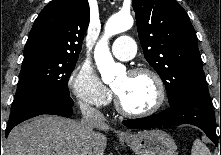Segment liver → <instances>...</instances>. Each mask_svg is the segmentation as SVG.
I'll return each instance as SVG.
<instances>
[{"label":"liver","instance_id":"obj_1","mask_svg":"<svg viewBox=\"0 0 221 155\" xmlns=\"http://www.w3.org/2000/svg\"><path fill=\"white\" fill-rule=\"evenodd\" d=\"M94 128L108 131L104 122ZM106 136H88L85 122L42 115L24 122L10 132L3 155H104Z\"/></svg>","mask_w":221,"mask_h":155}]
</instances>
